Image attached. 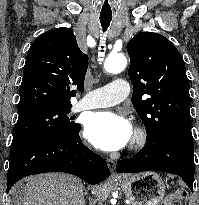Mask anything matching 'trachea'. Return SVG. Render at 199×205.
<instances>
[{
  "label": "trachea",
  "instance_id": "3493384b",
  "mask_svg": "<svg viewBox=\"0 0 199 205\" xmlns=\"http://www.w3.org/2000/svg\"><path fill=\"white\" fill-rule=\"evenodd\" d=\"M111 20H112V17L100 16V23H101L103 32H105L107 28L109 27Z\"/></svg>",
  "mask_w": 199,
  "mask_h": 205
}]
</instances>
